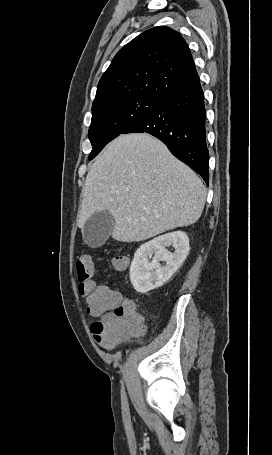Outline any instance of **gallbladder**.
Masks as SVG:
<instances>
[{"label":"gallbladder","mask_w":272,"mask_h":455,"mask_svg":"<svg viewBox=\"0 0 272 455\" xmlns=\"http://www.w3.org/2000/svg\"><path fill=\"white\" fill-rule=\"evenodd\" d=\"M114 228V218L108 211H97L85 222L82 237L91 247H99L109 238Z\"/></svg>","instance_id":"1"}]
</instances>
